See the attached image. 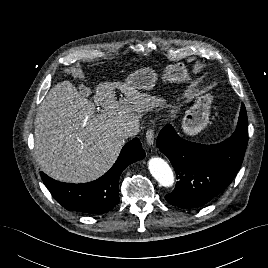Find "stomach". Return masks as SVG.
Segmentation results:
<instances>
[{"label": "stomach", "mask_w": 268, "mask_h": 268, "mask_svg": "<svg viewBox=\"0 0 268 268\" xmlns=\"http://www.w3.org/2000/svg\"><path fill=\"white\" fill-rule=\"evenodd\" d=\"M163 78L170 83H187L191 80L188 69L183 63L166 66ZM157 81V74L149 67L136 70L129 74L123 84L136 90H151ZM212 96L210 94L198 95L195 103L185 111L182 128L188 135L200 133L209 123L210 106Z\"/></svg>", "instance_id": "stomach-1"}]
</instances>
